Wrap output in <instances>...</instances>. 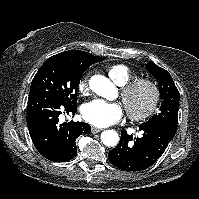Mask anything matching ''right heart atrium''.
<instances>
[{"label":"right heart atrium","instance_id":"right-heart-atrium-1","mask_svg":"<svg viewBox=\"0 0 199 199\" xmlns=\"http://www.w3.org/2000/svg\"><path fill=\"white\" fill-rule=\"evenodd\" d=\"M78 92L81 94V95H85L88 93V90H89V84H88V80L87 78H83L79 81L78 83Z\"/></svg>","mask_w":199,"mask_h":199}]
</instances>
